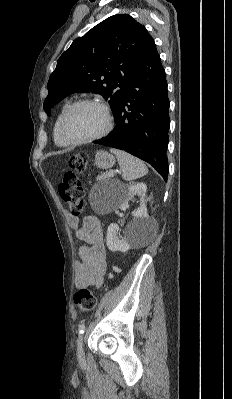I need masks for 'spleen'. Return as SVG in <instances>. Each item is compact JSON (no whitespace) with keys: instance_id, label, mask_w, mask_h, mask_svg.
I'll return each mask as SVG.
<instances>
[{"instance_id":"3e777b00","label":"spleen","mask_w":232,"mask_h":399,"mask_svg":"<svg viewBox=\"0 0 232 399\" xmlns=\"http://www.w3.org/2000/svg\"><path fill=\"white\" fill-rule=\"evenodd\" d=\"M111 154H115L117 162L123 172L122 178L126 182H132V180H137V178H142L148 174V168L134 156H130L127 152H121V150H114L111 148Z\"/></svg>"}]
</instances>
